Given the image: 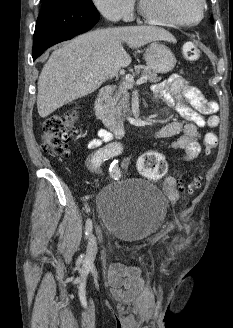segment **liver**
I'll use <instances>...</instances> for the list:
<instances>
[{"instance_id":"obj_1","label":"liver","mask_w":233,"mask_h":328,"mask_svg":"<svg viewBox=\"0 0 233 328\" xmlns=\"http://www.w3.org/2000/svg\"><path fill=\"white\" fill-rule=\"evenodd\" d=\"M156 40L176 41L170 32L159 27L123 26L87 32L55 49L38 79L40 117L96 91L130 65L131 57L123 42L130 48H139Z\"/></svg>"}]
</instances>
